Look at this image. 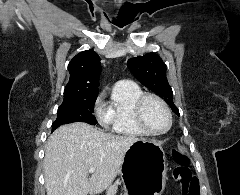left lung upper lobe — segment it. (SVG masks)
I'll return each mask as SVG.
<instances>
[{"instance_id":"5c2ea615","label":"left lung upper lobe","mask_w":240,"mask_h":195,"mask_svg":"<svg viewBox=\"0 0 240 195\" xmlns=\"http://www.w3.org/2000/svg\"><path fill=\"white\" fill-rule=\"evenodd\" d=\"M128 67L132 74L147 88L158 94L179 116V110L174 105L173 92L167 81L166 66L162 59L155 53L128 60Z\"/></svg>"}]
</instances>
